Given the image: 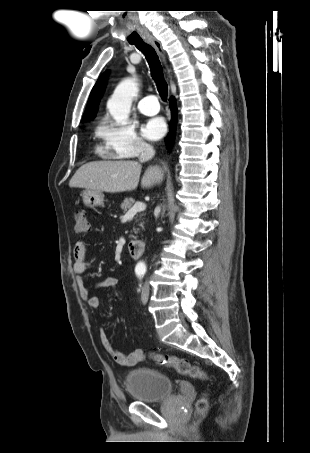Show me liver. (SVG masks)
I'll return each instance as SVG.
<instances>
[{
    "instance_id": "1",
    "label": "liver",
    "mask_w": 310,
    "mask_h": 453,
    "mask_svg": "<svg viewBox=\"0 0 310 453\" xmlns=\"http://www.w3.org/2000/svg\"><path fill=\"white\" fill-rule=\"evenodd\" d=\"M142 165L137 161H94L82 165L69 181L71 188L119 193L135 190ZM164 172L158 165L149 166L141 179L143 188H151L163 181Z\"/></svg>"
}]
</instances>
